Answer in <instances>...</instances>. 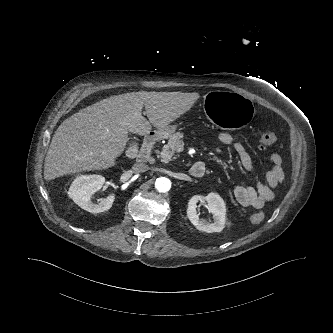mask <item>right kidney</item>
<instances>
[{
    "mask_svg": "<svg viewBox=\"0 0 333 333\" xmlns=\"http://www.w3.org/2000/svg\"><path fill=\"white\" fill-rule=\"evenodd\" d=\"M104 183L105 178L101 175H81L72 182L68 195L82 209L90 213H101L109 210L115 199V195L110 194L97 203L91 201L92 194L101 189Z\"/></svg>",
    "mask_w": 333,
    "mask_h": 333,
    "instance_id": "ca27d5eb",
    "label": "right kidney"
}]
</instances>
